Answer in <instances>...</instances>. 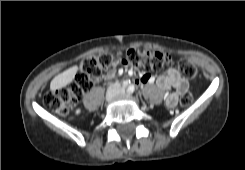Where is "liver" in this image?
I'll use <instances>...</instances> for the list:
<instances>
[{"label":"liver","mask_w":245,"mask_h":170,"mask_svg":"<svg viewBox=\"0 0 245 170\" xmlns=\"http://www.w3.org/2000/svg\"><path fill=\"white\" fill-rule=\"evenodd\" d=\"M78 71V66H73L64 72L58 74L53 78L50 83L51 91H55L57 89L63 88L66 85L70 84L73 80Z\"/></svg>","instance_id":"6515ba94"}]
</instances>
